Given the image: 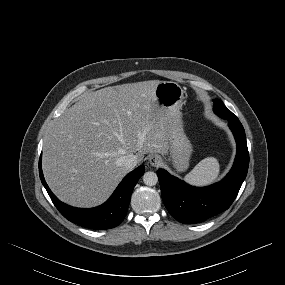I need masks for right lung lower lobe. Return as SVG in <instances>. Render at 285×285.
Segmentation results:
<instances>
[{
  "instance_id": "right-lung-lower-lobe-1",
  "label": "right lung lower lobe",
  "mask_w": 285,
  "mask_h": 285,
  "mask_svg": "<svg viewBox=\"0 0 285 285\" xmlns=\"http://www.w3.org/2000/svg\"><path fill=\"white\" fill-rule=\"evenodd\" d=\"M144 171L145 167L141 165L127 174L110 199L101 206L90 209H80L62 203L51 192L42 173L41 158L39 160V175L41 182L59 212L67 220L75 224L98 230L116 227L123 221L128 210L133 188L139 178L144 174Z\"/></svg>"
}]
</instances>
